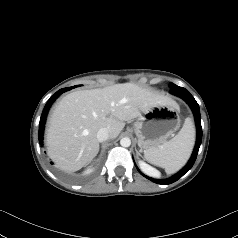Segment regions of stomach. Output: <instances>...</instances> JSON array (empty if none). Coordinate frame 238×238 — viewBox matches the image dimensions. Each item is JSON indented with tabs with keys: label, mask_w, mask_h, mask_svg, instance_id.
<instances>
[{
	"label": "stomach",
	"mask_w": 238,
	"mask_h": 238,
	"mask_svg": "<svg viewBox=\"0 0 238 238\" xmlns=\"http://www.w3.org/2000/svg\"><path fill=\"white\" fill-rule=\"evenodd\" d=\"M134 123V131L141 149L165 143L180 127L177 105H155L142 112Z\"/></svg>",
	"instance_id": "0dacf381"
}]
</instances>
